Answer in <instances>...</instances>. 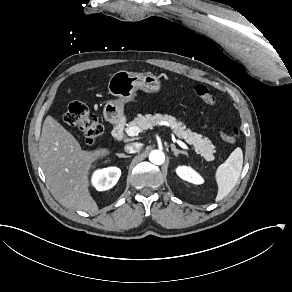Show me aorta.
<instances>
[{"instance_id": "aorta-1", "label": "aorta", "mask_w": 292, "mask_h": 292, "mask_svg": "<svg viewBox=\"0 0 292 292\" xmlns=\"http://www.w3.org/2000/svg\"><path fill=\"white\" fill-rule=\"evenodd\" d=\"M149 160L155 165H162L165 162V155L162 151H152L149 155Z\"/></svg>"}]
</instances>
